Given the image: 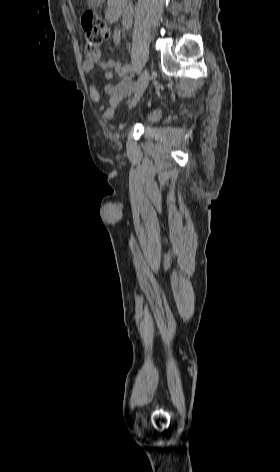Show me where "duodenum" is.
Returning <instances> with one entry per match:
<instances>
[{
    "label": "duodenum",
    "instance_id": "duodenum-1",
    "mask_svg": "<svg viewBox=\"0 0 280 472\" xmlns=\"http://www.w3.org/2000/svg\"><path fill=\"white\" fill-rule=\"evenodd\" d=\"M126 4V0H110L106 10V19L113 23L119 19L123 8Z\"/></svg>",
    "mask_w": 280,
    "mask_h": 472
}]
</instances>
